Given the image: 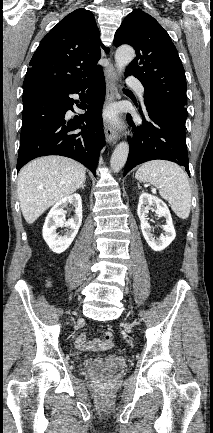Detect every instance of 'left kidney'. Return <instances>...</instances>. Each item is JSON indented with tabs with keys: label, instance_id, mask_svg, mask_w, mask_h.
Segmentation results:
<instances>
[{
	"label": "left kidney",
	"instance_id": "5707ae66",
	"mask_svg": "<svg viewBox=\"0 0 213 433\" xmlns=\"http://www.w3.org/2000/svg\"><path fill=\"white\" fill-rule=\"evenodd\" d=\"M150 206H156V214L158 217H164L166 224L162 226L164 235L159 239H155L151 230V225L146 221L147 213ZM137 214L141 222V230L148 245L154 251H162L169 246L176 237V232L173 226L172 217L167 205L156 196L148 193H142L139 197Z\"/></svg>",
	"mask_w": 213,
	"mask_h": 433
}]
</instances>
